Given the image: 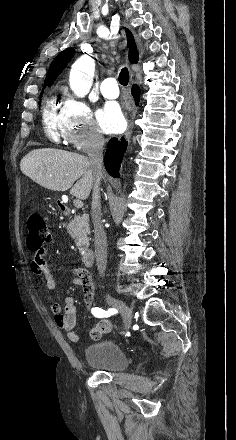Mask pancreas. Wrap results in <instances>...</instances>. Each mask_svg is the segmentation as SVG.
<instances>
[{"mask_svg":"<svg viewBox=\"0 0 236 440\" xmlns=\"http://www.w3.org/2000/svg\"><path fill=\"white\" fill-rule=\"evenodd\" d=\"M67 230L74 239L79 251H86L89 246V216L85 213L82 215H75L69 222Z\"/></svg>","mask_w":236,"mask_h":440,"instance_id":"pancreas-1","label":"pancreas"}]
</instances>
